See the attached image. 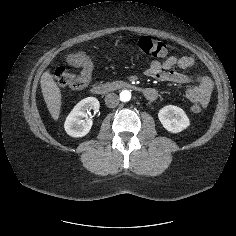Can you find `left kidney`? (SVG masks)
Listing matches in <instances>:
<instances>
[{"label": "left kidney", "instance_id": "left-kidney-1", "mask_svg": "<svg viewBox=\"0 0 236 236\" xmlns=\"http://www.w3.org/2000/svg\"><path fill=\"white\" fill-rule=\"evenodd\" d=\"M158 118L163 127L171 133H179L190 125L185 111L174 105H167L160 109Z\"/></svg>", "mask_w": 236, "mask_h": 236}]
</instances>
